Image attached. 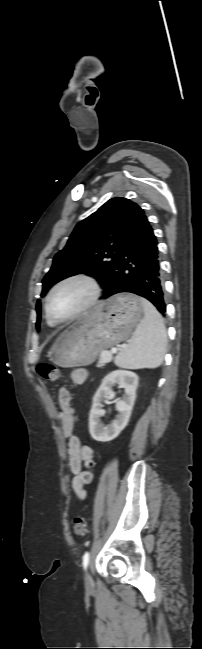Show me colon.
<instances>
[{
    "mask_svg": "<svg viewBox=\"0 0 202 649\" xmlns=\"http://www.w3.org/2000/svg\"><path fill=\"white\" fill-rule=\"evenodd\" d=\"M39 375L47 381H56L60 376L59 369L50 363H40L37 366ZM87 532V521L84 516H78L74 520V534L77 537L83 536Z\"/></svg>",
    "mask_w": 202,
    "mask_h": 649,
    "instance_id": "1",
    "label": "colon"
}]
</instances>
